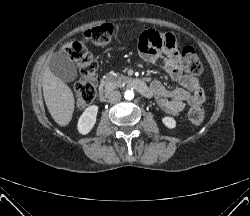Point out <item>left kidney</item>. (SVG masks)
<instances>
[{
    "label": "left kidney",
    "instance_id": "1",
    "mask_svg": "<svg viewBox=\"0 0 250 216\" xmlns=\"http://www.w3.org/2000/svg\"><path fill=\"white\" fill-rule=\"evenodd\" d=\"M162 123L169 129H174L176 127L175 119L169 116L163 117Z\"/></svg>",
    "mask_w": 250,
    "mask_h": 216
}]
</instances>
